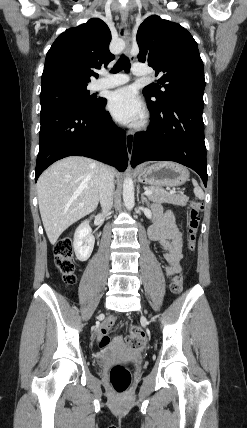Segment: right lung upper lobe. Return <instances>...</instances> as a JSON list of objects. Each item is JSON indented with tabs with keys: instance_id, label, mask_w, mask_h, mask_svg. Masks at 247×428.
Masks as SVG:
<instances>
[{
	"instance_id": "cb5924a9",
	"label": "right lung upper lobe",
	"mask_w": 247,
	"mask_h": 428,
	"mask_svg": "<svg viewBox=\"0 0 247 428\" xmlns=\"http://www.w3.org/2000/svg\"><path fill=\"white\" fill-rule=\"evenodd\" d=\"M111 32L98 18L59 35L47 52L42 74V92L63 86H87L101 68L114 59L109 51Z\"/></svg>"
}]
</instances>
